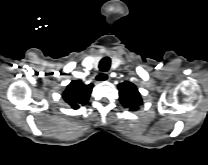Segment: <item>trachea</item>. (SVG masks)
<instances>
[{
  "mask_svg": "<svg viewBox=\"0 0 208 165\" xmlns=\"http://www.w3.org/2000/svg\"><path fill=\"white\" fill-rule=\"evenodd\" d=\"M110 65H111V59L108 56H106L102 58V60L100 61L99 69L103 72H106L109 70Z\"/></svg>",
  "mask_w": 208,
  "mask_h": 165,
  "instance_id": "trachea-1",
  "label": "trachea"
}]
</instances>
